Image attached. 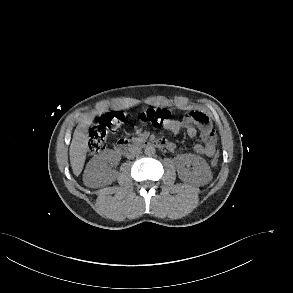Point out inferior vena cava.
Returning <instances> with one entry per match:
<instances>
[{
    "mask_svg": "<svg viewBox=\"0 0 293 293\" xmlns=\"http://www.w3.org/2000/svg\"><path fill=\"white\" fill-rule=\"evenodd\" d=\"M141 153V148L137 146H133L129 152L127 153L128 158H133L135 156H138Z\"/></svg>",
    "mask_w": 293,
    "mask_h": 293,
    "instance_id": "602c4592",
    "label": "inferior vena cava"
}]
</instances>
